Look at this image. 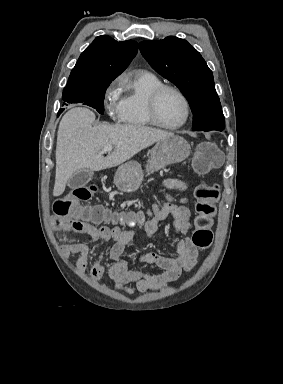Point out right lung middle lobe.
I'll list each match as a JSON object with an SVG mask.
<instances>
[{"label": "right lung middle lobe", "instance_id": "dd1d6c3e", "mask_svg": "<svg viewBox=\"0 0 283 384\" xmlns=\"http://www.w3.org/2000/svg\"><path fill=\"white\" fill-rule=\"evenodd\" d=\"M110 83L90 85L84 87L64 88L63 105L83 103L96 109L100 114L104 113L105 91ZM64 110V109H60Z\"/></svg>", "mask_w": 283, "mask_h": 384}]
</instances>
